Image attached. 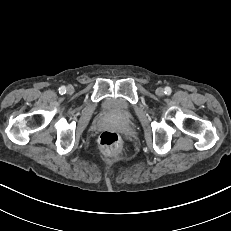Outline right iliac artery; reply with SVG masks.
<instances>
[{
	"label": "right iliac artery",
	"mask_w": 231,
	"mask_h": 231,
	"mask_svg": "<svg viewBox=\"0 0 231 231\" xmlns=\"http://www.w3.org/2000/svg\"><path fill=\"white\" fill-rule=\"evenodd\" d=\"M59 93H60V94H65V93H66V87H65V86H61V87L59 88Z\"/></svg>",
	"instance_id": "82829eb1"
}]
</instances>
